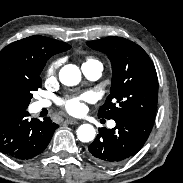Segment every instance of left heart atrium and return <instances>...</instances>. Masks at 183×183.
Returning a JSON list of instances; mask_svg holds the SVG:
<instances>
[{
  "label": "left heart atrium",
  "instance_id": "obj_1",
  "mask_svg": "<svg viewBox=\"0 0 183 183\" xmlns=\"http://www.w3.org/2000/svg\"><path fill=\"white\" fill-rule=\"evenodd\" d=\"M93 95L89 92L80 96H68L60 100V105L70 114H79L84 110V102L91 101Z\"/></svg>",
  "mask_w": 183,
  "mask_h": 183
}]
</instances>
